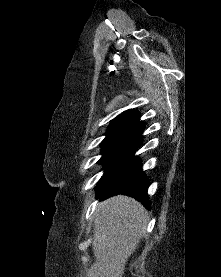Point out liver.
<instances>
[{
    "instance_id": "6515ba94",
    "label": "liver",
    "mask_w": 221,
    "mask_h": 277,
    "mask_svg": "<svg viewBox=\"0 0 221 277\" xmlns=\"http://www.w3.org/2000/svg\"><path fill=\"white\" fill-rule=\"evenodd\" d=\"M148 221L141 203L123 195L100 202L94 213L95 262L86 277H122Z\"/></svg>"
}]
</instances>
